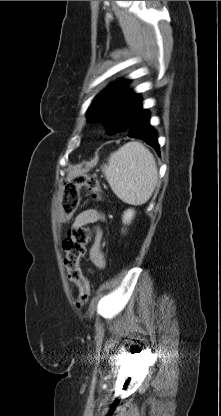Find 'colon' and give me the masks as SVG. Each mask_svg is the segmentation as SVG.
Instances as JSON below:
<instances>
[{
  "label": "colon",
  "instance_id": "colon-1",
  "mask_svg": "<svg viewBox=\"0 0 221 416\" xmlns=\"http://www.w3.org/2000/svg\"><path fill=\"white\" fill-rule=\"evenodd\" d=\"M82 186L88 187L95 199L100 198V188L95 178L87 175L74 176L63 186L60 202L61 220L63 222H68L76 212L79 203V189ZM91 235V230L88 227H72L63 241L64 264L69 279L77 285V305L79 307L84 306L90 297V285L81 267V260L86 254Z\"/></svg>",
  "mask_w": 221,
  "mask_h": 416
}]
</instances>
